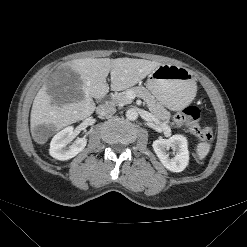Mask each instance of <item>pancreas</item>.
<instances>
[{
  "label": "pancreas",
  "instance_id": "pancreas-1",
  "mask_svg": "<svg viewBox=\"0 0 247 247\" xmlns=\"http://www.w3.org/2000/svg\"><path fill=\"white\" fill-rule=\"evenodd\" d=\"M132 93L133 95L140 97L147 104L148 109L153 113L158 119L169 122L171 117L170 113L155 99L153 95L143 86H137L130 89H127L124 92L116 93L112 96V105L123 106L130 104L132 99L128 98V94ZM174 126V123H171Z\"/></svg>",
  "mask_w": 247,
  "mask_h": 247
}]
</instances>
